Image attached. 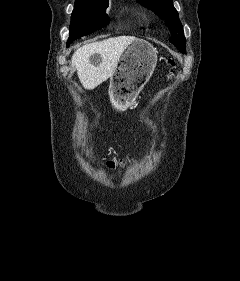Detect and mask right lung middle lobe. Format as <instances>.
I'll return each instance as SVG.
<instances>
[{
  "label": "right lung middle lobe",
  "instance_id": "obj_1",
  "mask_svg": "<svg viewBox=\"0 0 240 281\" xmlns=\"http://www.w3.org/2000/svg\"><path fill=\"white\" fill-rule=\"evenodd\" d=\"M108 6V0H75L68 43L105 27L109 21L105 13Z\"/></svg>",
  "mask_w": 240,
  "mask_h": 281
}]
</instances>
